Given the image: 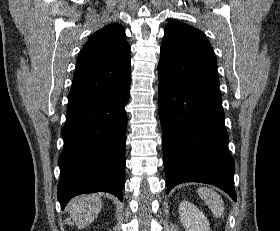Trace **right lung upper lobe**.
I'll use <instances>...</instances> for the list:
<instances>
[{"label":"right lung upper lobe","instance_id":"1","mask_svg":"<svg viewBox=\"0 0 280 231\" xmlns=\"http://www.w3.org/2000/svg\"><path fill=\"white\" fill-rule=\"evenodd\" d=\"M130 46L125 29L109 24L90 36L77 59L68 107L130 86Z\"/></svg>","mask_w":280,"mask_h":231}]
</instances>
